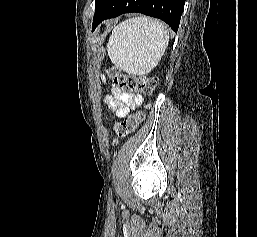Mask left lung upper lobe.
<instances>
[{
    "label": "left lung upper lobe",
    "mask_w": 257,
    "mask_h": 237,
    "mask_svg": "<svg viewBox=\"0 0 257 237\" xmlns=\"http://www.w3.org/2000/svg\"><path fill=\"white\" fill-rule=\"evenodd\" d=\"M107 1L108 0H95V15H94V17H96L99 14V12L102 10V8L107 3Z\"/></svg>",
    "instance_id": "5c2ea615"
}]
</instances>
